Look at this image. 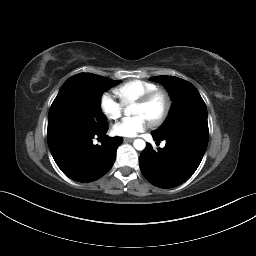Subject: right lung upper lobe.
Returning <instances> with one entry per match:
<instances>
[{
  "label": "right lung upper lobe",
  "instance_id": "obj_1",
  "mask_svg": "<svg viewBox=\"0 0 256 256\" xmlns=\"http://www.w3.org/2000/svg\"><path fill=\"white\" fill-rule=\"evenodd\" d=\"M70 81H71V80L68 79V80L63 84V86L61 87L60 91L66 90V89L69 87ZM60 91H59V92H60Z\"/></svg>",
  "mask_w": 256,
  "mask_h": 256
}]
</instances>
